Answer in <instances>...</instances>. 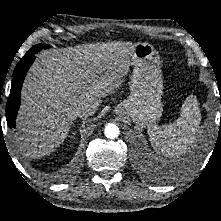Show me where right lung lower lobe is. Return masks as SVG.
Segmentation results:
<instances>
[{
    "label": "right lung lower lobe",
    "instance_id": "1",
    "mask_svg": "<svg viewBox=\"0 0 221 221\" xmlns=\"http://www.w3.org/2000/svg\"><path fill=\"white\" fill-rule=\"evenodd\" d=\"M36 53L27 52L26 55L19 61L13 72V80L10 90V95L6 105V119L10 128L15 127V119L20 106V93L23 80L27 70L34 61Z\"/></svg>",
    "mask_w": 221,
    "mask_h": 221
}]
</instances>
